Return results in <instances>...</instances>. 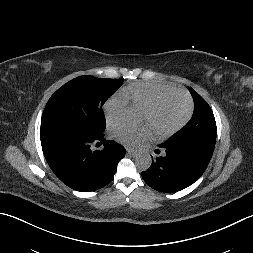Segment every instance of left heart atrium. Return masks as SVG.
<instances>
[{"instance_id":"left-heart-atrium-1","label":"left heart atrium","mask_w":253,"mask_h":253,"mask_svg":"<svg viewBox=\"0 0 253 253\" xmlns=\"http://www.w3.org/2000/svg\"><path fill=\"white\" fill-rule=\"evenodd\" d=\"M112 136L116 141L133 147L141 141L149 139L152 136V130L149 125L138 127L117 125L112 129Z\"/></svg>"}]
</instances>
